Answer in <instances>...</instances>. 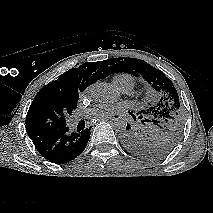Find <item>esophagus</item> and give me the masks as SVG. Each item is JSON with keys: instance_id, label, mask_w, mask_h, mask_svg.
<instances>
[{"instance_id": "esophagus-1", "label": "esophagus", "mask_w": 213, "mask_h": 213, "mask_svg": "<svg viewBox=\"0 0 213 213\" xmlns=\"http://www.w3.org/2000/svg\"><path fill=\"white\" fill-rule=\"evenodd\" d=\"M114 118L113 117H105V118H98L97 120L98 121H102V120H113Z\"/></svg>"}]
</instances>
